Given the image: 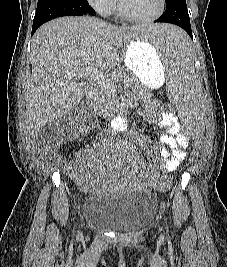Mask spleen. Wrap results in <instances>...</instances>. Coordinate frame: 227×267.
<instances>
[{
  "label": "spleen",
  "instance_id": "obj_1",
  "mask_svg": "<svg viewBox=\"0 0 227 267\" xmlns=\"http://www.w3.org/2000/svg\"><path fill=\"white\" fill-rule=\"evenodd\" d=\"M130 29L138 30V33H130V38L155 47V55L169 63L167 76H163V81H168L169 96L176 104L188 105L178 106V115H203L202 106H194L203 103L202 89L195 77L191 42L185 29H179L173 22H141V25H131ZM180 121L185 129L184 137L204 140L206 124L202 116H180Z\"/></svg>",
  "mask_w": 227,
  "mask_h": 267
}]
</instances>
